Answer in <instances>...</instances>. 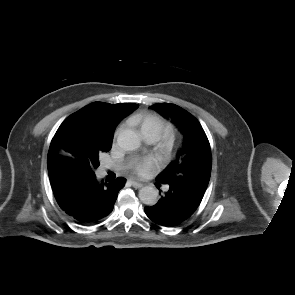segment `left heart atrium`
<instances>
[{"label": "left heart atrium", "mask_w": 295, "mask_h": 295, "mask_svg": "<svg viewBox=\"0 0 295 295\" xmlns=\"http://www.w3.org/2000/svg\"><path fill=\"white\" fill-rule=\"evenodd\" d=\"M157 165V158L149 156L136 160L132 165V170L137 176L144 177L152 170H154L157 167Z\"/></svg>", "instance_id": "left-heart-atrium-1"}]
</instances>
